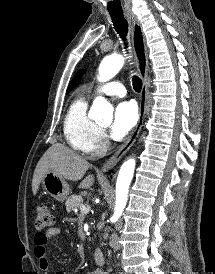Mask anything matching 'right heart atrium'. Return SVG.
I'll return each instance as SVG.
<instances>
[{
	"label": "right heart atrium",
	"mask_w": 215,
	"mask_h": 274,
	"mask_svg": "<svg viewBox=\"0 0 215 274\" xmlns=\"http://www.w3.org/2000/svg\"><path fill=\"white\" fill-rule=\"evenodd\" d=\"M109 146L108 136L105 130L98 128L96 134L92 138L90 153L99 155L106 151Z\"/></svg>",
	"instance_id": "right-heart-atrium-1"
}]
</instances>
